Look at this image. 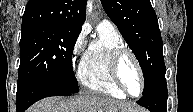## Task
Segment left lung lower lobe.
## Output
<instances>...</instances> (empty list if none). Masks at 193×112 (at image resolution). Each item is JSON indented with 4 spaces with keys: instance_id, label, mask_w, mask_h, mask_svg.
Masks as SVG:
<instances>
[{
    "instance_id": "left-lung-lower-lobe-1",
    "label": "left lung lower lobe",
    "mask_w": 193,
    "mask_h": 112,
    "mask_svg": "<svg viewBox=\"0 0 193 112\" xmlns=\"http://www.w3.org/2000/svg\"><path fill=\"white\" fill-rule=\"evenodd\" d=\"M165 73L166 70L157 77L153 86L137 101V104L147 108L151 112H166L168 92Z\"/></svg>"
}]
</instances>
